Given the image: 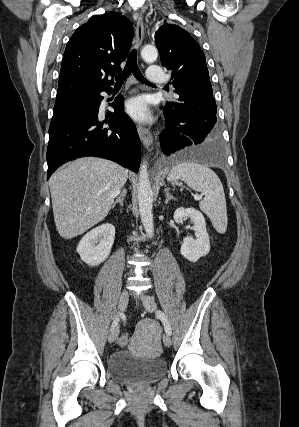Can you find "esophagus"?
I'll use <instances>...</instances> for the list:
<instances>
[{
  "label": "esophagus",
  "instance_id": "34e87169",
  "mask_svg": "<svg viewBox=\"0 0 299 427\" xmlns=\"http://www.w3.org/2000/svg\"><path fill=\"white\" fill-rule=\"evenodd\" d=\"M134 19L136 21V36H135V46L136 48H139L142 44L143 37H144V26H143V20L141 15L136 14L134 15ZM137 132L139 134V137L145 147L148 149L151 148L153 144V137L150 131L141 126L137 125Z\"/></svg>",
  "mask_w": 299,
  "mask_h": 427
}]
</instances>
